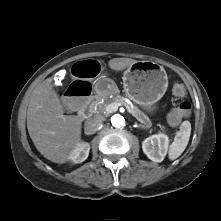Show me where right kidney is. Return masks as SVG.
I'll list each match as a JSON object with an SVG mask.
<instances>
[{
    "label": "right kidney",
    "instance_id": "obj_1",
    "mask_svg": "<svg viewBox=\"0 0 221 221\" xmlns=\"http://www.w3.org/2000/svg\"><path fill=\"white\" fill-rule=\"evenodd\" d=\"M90 145L86 142H81L77 145V147L70 154V160L73 163H81L85 161L89 155Z\"/></svg>",
    "mask_w": 221,
    "mask_h": 221
}]
</instances>
